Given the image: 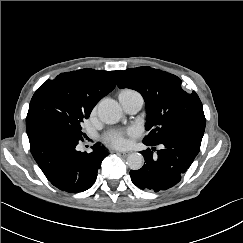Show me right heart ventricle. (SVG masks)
<instances>
[{
  "instance_id": "right-heart-ventricle-1",
  "label": "right heart ventricle",
  "mask_w": 243,
  "mask_h": 243,
  "mask_svg": "<svg viewBox=\"0 0 243 243\" xmlns=\"http://www.w3.org/2000/svg\"><path fill=\"white\" fill-rule=\"evenodd\" d=\"M118 97H119L120 102H123L129 98L141 97V95L133 89L126 88L119 92Z\"/></svg>"
}]
</instances>
